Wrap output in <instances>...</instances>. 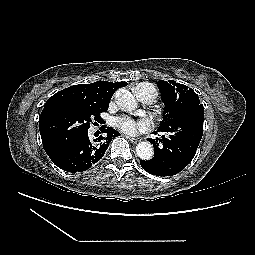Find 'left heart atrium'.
Wrapping results in <instances>:
<instances>
[{
  "mask_svg": "<svg viewBox=\"0 0 255 255\" xmlns=\"http://www.w3.org/2000/svg\"><path fill=\"white\" fill-rule=\"evenodd\" d=\"M113 123L120 130L133 135L144 133L150 128L149 120H135L127 116L117 117Z\"/></svg>",
  "mask_w": 255,
  "mask_h": 255,
  "instance_id": "1",
  "label": "left heart atrium"
}]
</instances>
